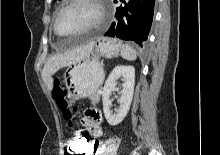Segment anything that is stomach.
Segmentation results:
<instances>
[{
	"mask_svg": "<svg viewBox=\"0 0 220 155\" xmlns=\"http://www.w3.org/2000/svg\"><path fill=\"white\" fill-rule=\"evenodd\" d=\"M120 47L121 43L116 39L102 38L92 50V56L68 66L64 82L71 102L90 98L96 93L104 79V70L96 55L113 58L118 55Z\"/></svg>",
	"mask_w": 220,
	"mask_h": 155,
	"instance_id": "obj_1",
	"label": "stomach"
}]
</instances>
